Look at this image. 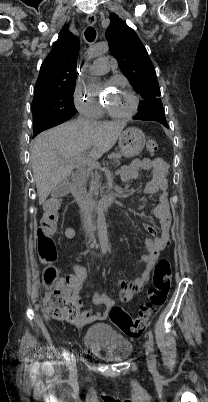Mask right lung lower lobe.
Wrapping results in <instances>:
<instances>
[{"instance_id": "obj_1", "label": "right lung lower lobe", "mask_w": 208, "mask_h": 402, "mask_svg": "<svg viewBox=\"0 0 208 402\" xmlns=\"http://www.w3.org/2000/svg\"><path fill=\"white\" fill-rule=\"evenodd\" d=\"M67 121V119H58L56 117H42L34 120V136L40 132L57 126L63 122Z\"/></svg>"}]
</instances>
